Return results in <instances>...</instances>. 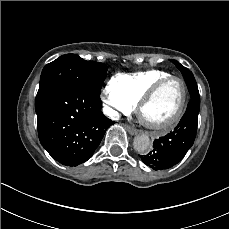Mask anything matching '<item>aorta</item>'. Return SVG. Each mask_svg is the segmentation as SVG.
Here are the masks:
<instances>
[{
    "mask_svg": "<svg viewBox=\"0 0 229 229\" xmlns=\"http://www.w3.org/2000/svg\"><path fill=\"white\" fill-rule=\"evenodd\" d=\"M134 148L139 153H145L150 147V139L147 135H138L134 138Z\"/></svg>",
    "mask_w": 229,
    "mask_h": 229,
    "instance_id": "762f6f07",
    "label": "aorta"
}]
</instances>
